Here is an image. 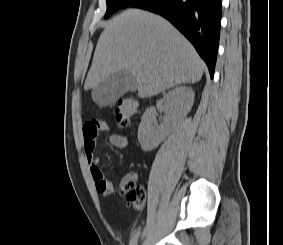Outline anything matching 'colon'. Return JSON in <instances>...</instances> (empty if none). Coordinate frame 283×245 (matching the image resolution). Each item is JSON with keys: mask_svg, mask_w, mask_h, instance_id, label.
<instances>
[{"mask_svg": "<svg viewBox=\"0 0 283 245\" xmlns=\"http://www.w3.org/2000/svg\"><path fill=\"white\" fill-rule=\"evenodd\" d=\"M115 118L119 126H129L133 116L135 115L138 102L134 98H123L112 105ZM120 191L125 195L128 204L136 209H141L145 204V191L133 181H124L120 183Z\"/></svg>", "mask_w": 283, "mask_h": 245, "instance_id": "1", "label": "colon"}]
</instances>
